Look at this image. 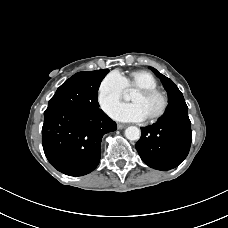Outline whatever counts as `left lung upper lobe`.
I'll return each mask as SVG.
<instances>
[{"mask_svg": "<svg viewBox=\"0 0 228 228\" xmlns=\"http://www.w3.org/2000/svg\"><path fill=\"white\" fill-rule=\"evenodd\" d=\"M150 69L161 79L167 93H168V102L173 101L178 97H183L182 93L178 87L166 76L159 73L156 69L150 67Z\"/></svg>", "mask_w": 228, "mask_h": 228, "instance_id": "obj_1", "label": "left lung upper lobe"}]
</instances>
